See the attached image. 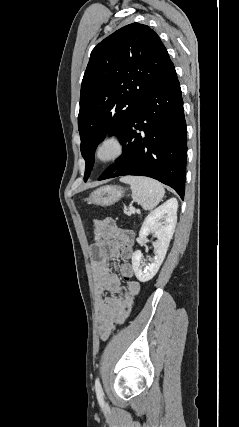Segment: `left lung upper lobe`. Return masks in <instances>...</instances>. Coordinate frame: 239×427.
<instances>
[{"label": "left lung upper lobe", "mask_w": 239, "mask_h": 427, "mask_svg": "<svg viewBox=\"0 0 239 427\" xmlns=\"http://www.w3.org/2000/svg\"><path fill=\"white\" fill-rule=\"evenodd\" d=\"M173 66L159 36L139 23L122 27L92 50L78 116L84 181L90 176L98 144L107 133L122 139L140 100Z\"/></svg>", "instance_id": "5c2ea615"}]
</instances>
